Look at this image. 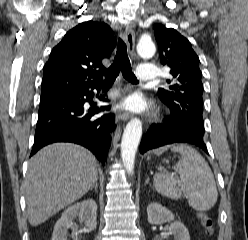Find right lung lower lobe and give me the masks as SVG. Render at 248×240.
Masks as SVG:
<instances>
[{"instance_id": "obj_1", "label": "right lung lower lobe", "mask_w": 248, "mask_h": 240, "mask_svg": "<svg viewBox=\"0 0 248 240\" xmlns=\"http://www.w3.org/2000/svg\"><path fill=\"white\" fill-rule=\"evenodd\" d=\"M100 87L93 85L72 93L41 98L31 156L48 144L73 142L91 150L104 164L110 147V133L115 130V115H97L110 110V106L97 107L88 112L83 107L85 102L92 104L89 98L93 97V90L99 91ZM100 100L109 101L105 96Z\"/></svg>"}]
</instances>
